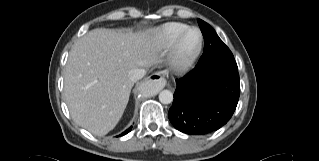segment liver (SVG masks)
Here are the masks:
<instances>
[{
    "label": "liver",
    "instance_id": "obj_1",
    "mask_svg": "<svg viewBox=\"0 0 319 161\" xmlns=\"http://www.w3.org/2000/svg\"><path fill=\"white\" fill-rule=\"evenodd\" d=\"M159 50L149 31L98 28L78 39L64 73V97L72 119L97 136L113 130L133 87L129 71L157 63Z\"/></svg>",
    "mask_w": 319,
    "mask_h": 161
}]
</instances>
